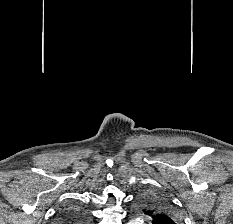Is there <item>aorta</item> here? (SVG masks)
<instances>
[{
  "instance_id": "obj_1",
  "label": "aorta",
  "mask_w": 233,
  "mask_h": 224,
  "mask_svg": "<svg viewBox=\"0 0 233 224\" xmlns=\"http://www.w3.org/2000/svg\"><path fill=\"white\" fill-rule=\"evenodd\" d=\"M128 224H143V221L140 218L131 220Z\"/></svg>"
}]
</instances>
